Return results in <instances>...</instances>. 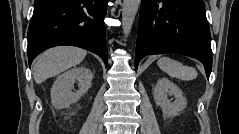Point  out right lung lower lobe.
Here are the masks:
<instances>
[{"label": "right lung lower lobe", "mask_w": 239, "mask_h": 134, "mask_svg": "<svg viewBox=\"0 0 239 134\" xmlns=\"http://www.w3.org/2000/svg\"><path fill=\"white\" fill-rule=\"evenodd\" d=\"M108 0H35L28 29V60L42 51L72 45L99 55L107 66L104 18Z\"/></svg>", "instance_id": "right-lung-lower-lobe-1"}]
</instances>
